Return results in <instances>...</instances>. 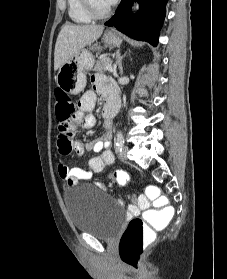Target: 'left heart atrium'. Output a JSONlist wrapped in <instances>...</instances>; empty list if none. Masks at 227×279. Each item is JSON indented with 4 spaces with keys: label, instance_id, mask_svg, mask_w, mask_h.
<instances>
[{
    "label": "left heart atrium",
    "instance_id": "1",
    "mask_svg": "<svg viewBox=\"0 0 227 279\" xmlns=\"http://www.w3.org/2000/svg\"><path fill=\"white\" fill-rule=\"evenodd\" d=\"M107 1H108L109 4L111 5V4L115 3L116 0H107Z\"/></svg>",
    "mask_w": 227,
    "mask_h": 279
}]
</instances>
